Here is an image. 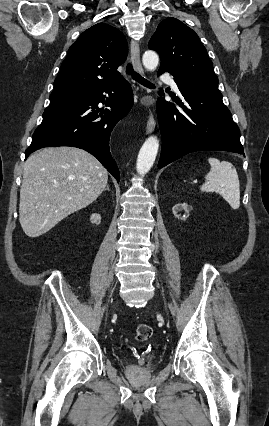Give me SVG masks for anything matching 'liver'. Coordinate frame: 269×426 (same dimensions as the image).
Segmentation results:
<instances>
[{"label":"liver","instance_id":"6515ba94","mask_svg":"<svg viewBox=\"0 0 269 426\" xmlns=\"http://www.w3.org/2000/svg\"><path fill=\"white\" fill-rule=\"evenodd\" d=\"M108 172L88 152L75 147L44 148L24 165L19 221L28 237H39L105 190Z\"/></svg>","mask_w":269,"mask_h":426}]
</instances>
